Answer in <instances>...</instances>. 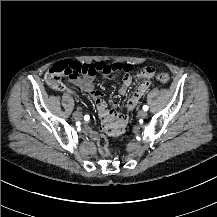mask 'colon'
Listing matches in <instances>:
<instances>
[{"label":"colon","mask_w":217,"mask_h":217,"mask_svg":"<svg viewBox=\"0 0 217 217\" xmlns=\"http://www.w3.org/2000/svg\"><path fill=\"white\" fill-rule=\"evenodd\" d=\"M131 69V65L128 63L115 62H96L90 64L77 63L75 60H68L67 62H61L60 64H54L46 73L45 78L50 82V88L53 91H58L61 88L59 82L62 77L72 79L76 75L95 74L98 72H112L121 71L128 72ZM152 73V69L148 68L147 71H138V76H146ZM169 77L166 73L160 72L156 75V80L161 83H166ZM97 146L100 153L103 156H111V152L108 149L107 138L101 134L97 139Z\"/></svg>","instance_id":"colon-1"}]
</instances>
